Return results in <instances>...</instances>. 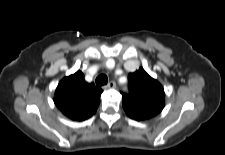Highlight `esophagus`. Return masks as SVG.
<instances>
[{
	"label": "esophagus",
	"mask_w": 225,
	"mask_h": 155,
	"mask_svg": "<svg viewBox=\"0 0 225 155\" xmlns=\"http://www.w3.org/2000/svg\"><path fill=\"white\" fill-rule=\"evenodd\" d=\"M115 87H116L115 81H110V82L105 86V88H109V89H112V88H115Z\"/></svg>",
	"instance_id": "34e87169"
}]
</instances>
